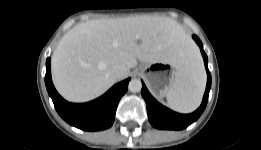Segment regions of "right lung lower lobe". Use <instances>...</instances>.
I'll return each instance as SVG.
<instances>
[{
  "mask_svg": "<svg viewBox=\"0 0 261 150\" xmlns=\"http://www.w3.org/2000/svg\"><path fill=\"white\" fill-rule=\"evenodd\" d=\"M45 84L58 114L70 125L86 131L104 130L114 122L120 98L126 93L130 78L116 84L100 98L85 104L65 101L55 90L51 79V61L46 60Z\"/></svg>",
  "mask_w": 261,
  "mask_h": 150,
  "instance_id": "obj_1",
  "label": "right lung lower lobe"
}]
</instances>
